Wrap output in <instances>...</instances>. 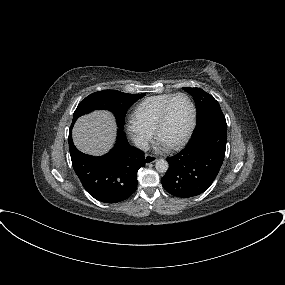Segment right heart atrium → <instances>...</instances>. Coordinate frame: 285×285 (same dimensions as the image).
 I'll use <instances>...</instances> for the list:
<instances>
[{"label": "right heart atrium", "instance_id": "obj_1", "mask_svg": "<svg viewBox=\"0 0 285 285\" xmlns=\"http://www.w3.org/2000/svg\"><path fill=\"white\" fill-rule=\"evenodd\" d=\"M126 128L137 147L141 149L147 147L153 136V130L145 127L133 117L127 121Z\"/></svg>", "mask_w": 285, "mask_h": 285}]
</instances>
